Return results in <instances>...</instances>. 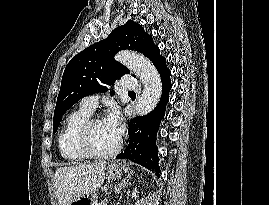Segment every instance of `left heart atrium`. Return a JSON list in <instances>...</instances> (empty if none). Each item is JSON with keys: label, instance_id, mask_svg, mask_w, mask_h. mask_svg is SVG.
I'll list each match as a JSON object with an SVG mask.
<instances>
[{"label": "left heart atrium", "instance_id": "39dd6f15", "mask_svg": "<svg viewBox=\"0 0 269 205\" xmlns=\"http://www.w3.org/2000/svg\"><path fill=\"white\" fill-rule=\"evenodd\" d=\"M104 121L113 135L119 139L123 133V125L118 108L112 107Z\"/></svg>", "mask_w": 269, "mask_h": 205}]
</instances>
